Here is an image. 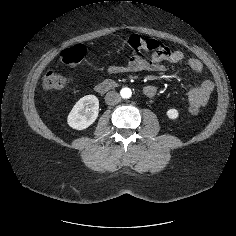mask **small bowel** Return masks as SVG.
Instances as JSON below:
<instances>
[{
    "instance_id": "obj_1",
    "label": "small bowel",
    "mask_w": 236,
    "mask_h": 236,
    "mask_svg": "<svg viewBox=\"0 0 236 236\" xmlns=\"http://www.w3.org/2000/svg\"><path fill=\"white\" fill-rule=\"evenodd\" d=\"M163 61H168L171 64L185 63L186 66L194 73L200 74L203 71L202 63L196 58L185 59L184 54L178 50L165 48L160 54H154L150 58L141 55H135L129 58L126 62L116 63L109 66L105 73L113 75L126 72H164L165 66ZM214 90V83L209 79L203 80L198 86L191 88L188 92V100L190 107L197 109L205 106ZM157 92L154 85H146L144 94L147 97H153Z\"/></svg>"
}]
</instances>
